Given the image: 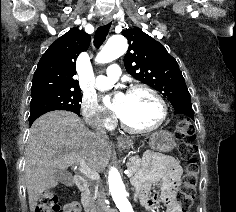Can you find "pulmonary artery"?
Wrapping results in <instances>:
<instances>
[{
    "label": "pulmonary artery",
    "instance_id": "obj_1",
    "mask_svg": "<svg viewBox=\"0 0 236 212\" xmlns=\"http://www.w3.org/2000/svg\"><path fill=\"white\" fill-rule=\"evenodd\" d=\"M121 75V68L117 64H111L105 75H100L96 78V87L98 89H108L118 80Z\"/></svg>",
    "mask_w": 236,
    "mask_h": 212
}]
</instances>
